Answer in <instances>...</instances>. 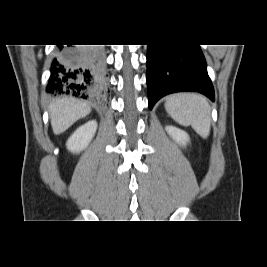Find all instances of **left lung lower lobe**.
Listing matches in <instances>:
<instances>
[{"label": "left lung lower lobe", "mask_w": 267, "mask_h": 267, "mask_svg": "<svg viewBox=\"0 0 267 267\" xmlns=\"http://www.w3.org/2000/svg\"><path fill=\"white\" fill-rule=\"evenodd\" d=\"M149 109L163 96L182 91L200 92L214 101V89L199 45H148Z\"/></svg>", "instance_id": "0a47b994"}]
</instances>
